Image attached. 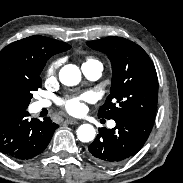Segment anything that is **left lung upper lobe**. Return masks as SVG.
Returning <instances> with one entry per match:
<instances>
[{
	"instance_id": "obj_1",
	"label": "left lung upper lobe",
	"mask_w": 183,
	"mask_h": 183,
	"mask_svg": "<svg viewBox=\"0 0 183 183\" xmlns=\"http://www.w3.org/2000/svg\"><path fill=\"white\" fill-rule=\"evenodd\" d=\"M87 45L108 55L112 64L110 94L98 116L105 119L132 116L154 124L158 78L148 54L139 45L122 37L89 41Z\"/></svg>"
}]
</instances>
